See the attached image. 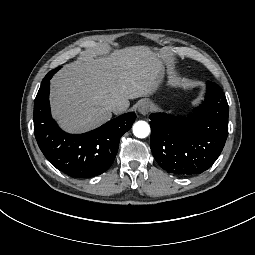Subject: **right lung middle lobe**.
I'll list each match as a JSON object with an SVG mask.
<instances>
[{"label": "right lung middle lobe", "mask_w": 255, "mask_h": 255, "mask_svg": "<svg viewBox=\"0 0 255 255\" xmlns=\"http://www.w3.org/2000/svg\"><path fill=\"white\" fill-rule=\"evenodd\" d=\"M59 69H60V67H58V68L52 70L51 72H49V73L47 74V77L51 78V77L53 76V74H54L56 71H58Z\"/></svg>", "instance_id": "1"}]
</instances>
